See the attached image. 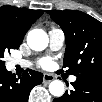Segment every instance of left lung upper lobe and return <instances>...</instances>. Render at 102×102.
Wrapping results in <instances>:
<instances>
[{
  "label": "left lung upper lobe",
  "mask_w": 102,
  "mask_h": 102,
  "mask_svg": "<svg viewBox=\"0 0 102 102\" xmlns=\"http://www.w3.org/2000/svg\"><path fill=\"white\" fill-rule=\"evenodd\" d=\"M47 13L65 34L63 67L66 72L76 77L102 79V23L80 11L54 10Z\"/></svg>",
  "instance_id": "5c2ea615"
}]
</instances>
